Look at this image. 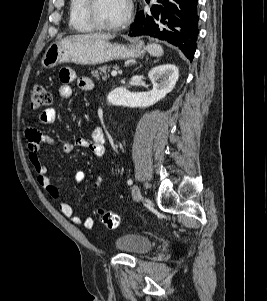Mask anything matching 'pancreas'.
I'll list each match as a JSON object with an SVG mask.
<instances>
[{"label": "pancreas", "mask_w": 267, "mask_h": 301, "mask_svg": "<svg viewBox=\"0 0 267 301\" xmlns=\"http://www.w3.org/2000/svg\"><path fill=\"white\" fill-rule=\"evenodd\" d=\"M116 66L114 65H104L102 67H99L98 69H95L92 71L93 76L99 80L100 76L102 77L103 80H106L109 78V75L107 76V71H109L110 68H115Z\"/></svg>", "instance_id": "obj_1"}]
</instances>
